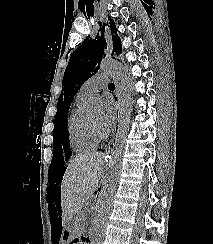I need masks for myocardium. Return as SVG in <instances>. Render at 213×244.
Listing matches in <instances>:
<instances>
[{"instance_id":"myocardium-1","label":"myocardium","mask_w":213,"mask_h":244,"mask_svg":"<svg viewBox=\"0 0 213 244\" xmlns=\"http://www.w3.org/2000/svg\"><path fill=\"white\" fill-rule=\"evenodd\" d=\"M89 123H90L91 129H92L93 133L96 135V137H98L99 139H103L106 137V133L101 128L96 126L90 119H89Z\"/></svg>"}]
</instances>
